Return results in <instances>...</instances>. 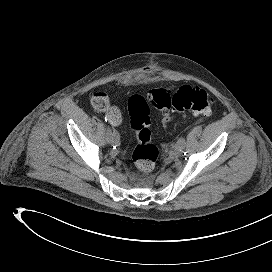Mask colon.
<instances>
[{"instance_id":"obj_1","label":"colon","mask_w":272,"mask_h":272,"mask_svg":"<svg viewBox=\"0 0 272 272\" xmlns=\"http://www.w3.org/2000/svg\"><path fill=\"white\" fill-rule=\"evenodd\" d=\"M103 104L102 100L96 101ZM213 98L203 89L184 85L177 90L157 88L146 96L132 95L127 103L130 126L135 132L137 144L132 160L141 172H151L159 157L158 147L151 141L150 107L160 110L189 111L196 116H209Z\"/></svg>"}]
</instances>
